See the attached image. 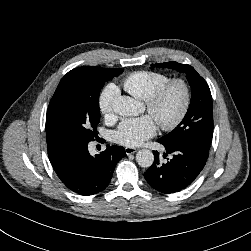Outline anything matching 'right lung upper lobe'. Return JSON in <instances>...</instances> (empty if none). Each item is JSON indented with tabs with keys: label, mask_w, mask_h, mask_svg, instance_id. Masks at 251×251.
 <instances>
[{
	"label": "right lung upper lobe",
	"mask_w": 251,
	"mask_h": 251,
	"mask_svg": "<svg viewBox=\"0 0 251 251\" xmlns=\"http://www.w3.org/2000/svg\"><path fill=\"white\" fill-rule=\"evenodd\" d=\"M55 95H53L46 116V139H47V149L49 156H52L56 153L65 143H67L64 139L60 138L56 131L54 130L51 120H50V110L53 104Z\"/></svg>",
	"instance_id": "1"
}]
</instances>
